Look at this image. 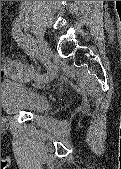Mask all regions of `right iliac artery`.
<instances>
[{"label":"right iliac artery","instance_id":"82829eb1","mask_svg":"<svg viewBox=\"0 0 121 169\" xmlns=\"http://www.w3.org/2000/svg\"><path fill=\"white\" fill-rule=\"evenodd\" d=\"M12 32L15 40L28 54L36 57L41 62L45 63V65L47 66V72L44 74H36L33 78L40 82H46V80L48 79V75L51 71V67L49 64H47L46 60L39 53L34 40L29 35H26L22 32L19 26V21L17 20L13 25Z\"/></svg>","mask_w":121,"mask_h":169}]
</instances>
